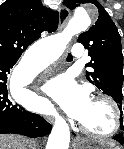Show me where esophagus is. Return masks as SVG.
<instances>
[{"label": "esophagus", "mask_w": 124, "mask_h": 149, "mask_svg": "<svg viewBox=\"0 0 124 149\" xmlns=\"http://www.w3.org/2000/svg\"><path fill=\"white\" fill-rule=\"evenodd\" d=\"M71 16L70 10L62 5L59 8V29L61 30L68 22L69 18Z\"/></svg>", "instance_id": "obj_1"}]
</instances>
